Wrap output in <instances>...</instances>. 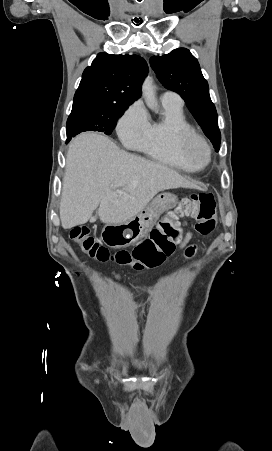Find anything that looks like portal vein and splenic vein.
Here are the masks:
<instances>
[{"mask_svg":"<svg viewBox=\"0 0 272 451\" xmlns=\"http://www.w3.org/2000/svg\"><path fill=\"white\" fill-rule=\"evenodd\" d=\"M115 192H117V194H124V190H115Z\"/></svg>","mask_w":272,"mask_h":451,"instance_id":"portal-vein-and-splenic-vein-1","label":"portal vein and splenic vein"}]
</instances>
